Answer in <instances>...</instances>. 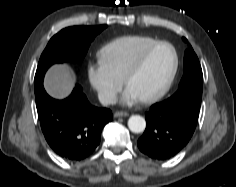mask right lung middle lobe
Masks as SVG:
<instances>
[{"mask_svg": "<svg viewBox=\"0 0 236 187\" xmlns=\"http://www.w3.org/2000/svg\"><path fill=\"white\" fill-rule=\"evenodd\" d=\"M106 27V25L74 26L54 35L40 57L34 79L35 91L43 85L45 72L51 65L66 61H81L95 36Z\"/></svg>", "mask_w": 236, "mask_h": 187, "instance_id": "dd1d6c3e", "label": "right lung middle lobe"}]
</instances>
